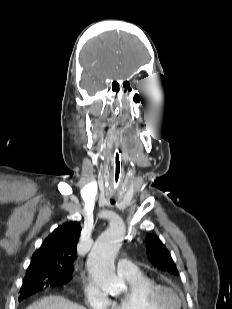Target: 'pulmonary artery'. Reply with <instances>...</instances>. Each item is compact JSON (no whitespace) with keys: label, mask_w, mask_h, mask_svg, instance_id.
<instances>
[{"label":"pulmonary artery","mask_w":232,"mask_h":309,"mask_svg":"<svg viewBox=\"0 0 232 309\" xmlns=\"http://www.w3.org/2000/svg\"><path fill=\"white\" fill-rule=\"evenodd\" d=\"M118 272L123 276H132L139 273V268L128 259H120L117 262Z\"/></svg>","instance_id":"pulmonary-artery-1"}]
</instances>
